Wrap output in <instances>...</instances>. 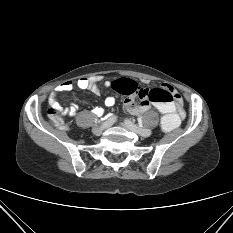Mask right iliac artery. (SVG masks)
<instances>
[{
  "instance_id": "1",
  "label": "right iliac artery",
  "mask_w": 233,
  "mask_h": 233,
  "mask_svg": "<svg viewBox=\"0 0 233 233\" xmlns=\"http://www.w3.org/2000/svg\"><path fill=\"white\" fill-rule=\"evenodd\" d=\"M115 120H116V116L111 115V117L109 119H107L106 122H104L103 124H101V127L108 126L111 123H113Z\"/></svg>"
}]
</instances>
